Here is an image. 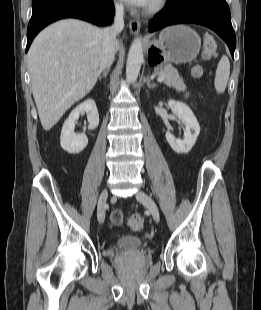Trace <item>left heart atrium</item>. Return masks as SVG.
Returning a JSON list of instances; mask_svg holds the SVG:
<instances>
[{"label":"left heart atrium","instance_id":"obj_1","mask_svg":"<svg viewBox=\"0 0 261 310\" xmlns=\"http://www.w3.org/2000/svg\"><path fill=\"white\" fill-rule=\"evenodd\" d=\"M129 5L135 6V7H146L150 4L152 0H124Z\"/></svg>","mask_w":261,"mask_h":310}]
</instances>
